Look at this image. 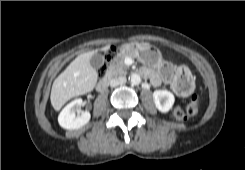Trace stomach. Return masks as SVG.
<instances>
[{
	"instance_id": "1",
	"label": "stomach",
	"mask_w": 245,
	"mask_h": 170,
	"mask_svg": "<svg viewBox=\"0 0 245 170\" xmlns=\"http://www.w3.org/2000/svg\"><path fill=\"white\" fill-rule=\"evenodd\" d=\"M122 50L127 51L141 63L152 68H158L163 63L160 51L148 45L131 43L123 46ZM178 72V78L184 80L189 85V90L186 93H190L194 88V81L191 74L183 68H180Z\"/></svg>"
}]
</instances>
